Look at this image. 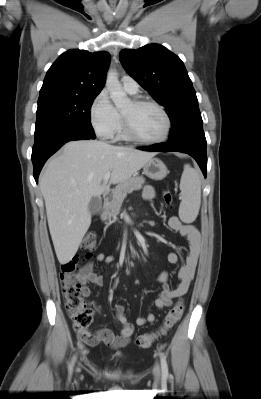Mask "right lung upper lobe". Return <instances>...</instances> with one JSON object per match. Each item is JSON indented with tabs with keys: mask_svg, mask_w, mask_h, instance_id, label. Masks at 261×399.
<instances>
[{
	"mask_svg": "<svg viewBox=\"0 0 261 399\" xmlns=\"http://www.w3.org/2000/svg\"><path fill=\"white\" fill-rule=\"evenodd\" d=\"M109 62L110 55L106 51L69 50L48 70L39 97L52 94L98 95L104 87Z\"/></svg>",
	"mask_w": 261,
	"mask_h": 399,
	"instance_id": "cb5924a9",
	"label": "right lung upper lobe"
}]
</instances>
